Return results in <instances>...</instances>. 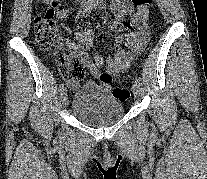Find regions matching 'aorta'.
I'll return each mask as SVG.
<instances>
[{"instance_id": "aorta-1", "label": "aorta", "mask_w": 207, "mask_h": 179, "mask_svg": "<svg viewBox=\"0 0 207 179\" xmlns=\"http://www.w3.org/2000/svg\"><path fill=\"white\" fill-rule=\"evenodd\" d=\"M89 4L97 5L99 0H87Z\"/></svg>"}]
</instances>
